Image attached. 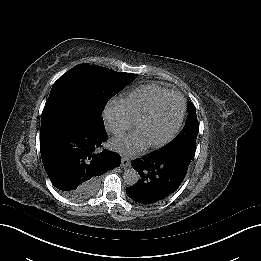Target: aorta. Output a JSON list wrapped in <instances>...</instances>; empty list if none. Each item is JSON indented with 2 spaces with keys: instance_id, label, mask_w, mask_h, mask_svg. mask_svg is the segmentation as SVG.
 <instances>
[{
  "instance_id": "1",
  "label": "aorta",
  "mask_w": 261,
  "mask_h": 261,
  "mask_svg": "<svg viewBox=\"0 0 261 261\" xmlns=\"http://www.w3.org/2000/svg\"><path fill=\"white\" fill-rule=\"evenodd\" d=\"M123 179L125 184L131 187L139 181L140 175L136 169L126 168L123 173Z\"/></svg>"
}]
</instances>
